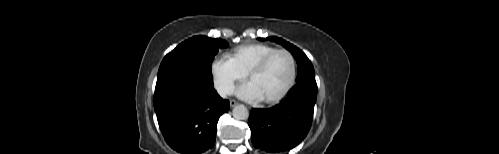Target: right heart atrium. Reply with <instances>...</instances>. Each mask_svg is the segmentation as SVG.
<instances>
[{"instance_id": "obj_1", "label": "right heart atrium", "mask_w": 499, "mask_h": 154, "mask_svg": "<svg viewBox=\"0 0 499 154\" xmlns=\"http://www.w3.org/2000/svg\"><path fill=\"white\" fill-rule=\"evenodd\" d=\"M210 74L215 90L222 96L228 95L234 84L246 77V73L226 55L218 56L212 60Z\"/></svg>"}]
</instances>
